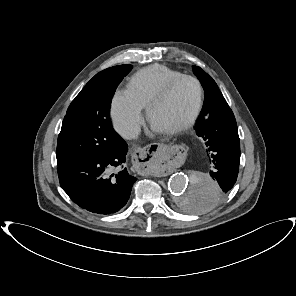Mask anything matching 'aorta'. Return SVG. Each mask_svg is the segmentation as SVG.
Masks as SVG:
<instances>
[{"label": "aorta", "instance_id": "1", "mask_svg": "<svg viewBox=\"0 0 296 296\" xmlns=\"http://www.w3.org/2000/svg\"><path fill=\"white\" fill-rule=\"evenodd\" d=\"M218 187L212 177L195 171L176 173L168 182L174 203L193 214H204L215 207L219 199Z\"/></svg>", "mask_w": 296, "mask_h": 296}]
</instances>
